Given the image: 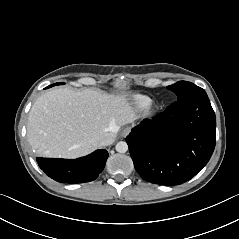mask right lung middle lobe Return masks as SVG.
Instances as JSON below:
<instances>
[{
    "instance_id": "right-lung-middle-lobe-1",
    "label": "right lung middle lobe",
    "mask_w": 239,
    "mask_h": 239,
    "mask_svg": "<svg viewBox=\"0 0 239 239\" xmlns=\"http://www.w3.org/2000/svg\"><path fill=\"white\" fill-rule=\"evenodd\" d=\"M60 84H61V83H56V84H53V85L48 86L47 88L52 87V86H54V85H60Z\"/></svg>"
}]
</instances>
